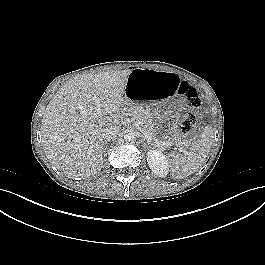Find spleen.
Segmentation results:
<instances>
[{
  "label": "spleen",
  "instance_id": "obj_1",
  "mask_svg": "<svg viewBox=\"0 0 265 265\" xmlns=\"http://www.w3.org/2000/svg\"><path fill=\"white\" fill-rule=\"evenodd\" d=\"M213 132L206 128L197 139L190 151L184 155L172 154L169 159V168L173 178L182 179L195 172L205 161L212 145Z\"/></svg>",
  "mask_w": 265,
  "mask_h": 265
}]
</instances>
